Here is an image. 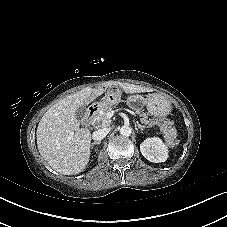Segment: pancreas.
I'll return each instance as SVG.
<instances>
[{"mask_svg": "<svg viewBox=\"0 0 227 227\" xmlns=\"http://www.w3.org/2000/svg\"><path fill=\"white\" fill-rule=\"evenodd\" d=\"M112 109V106H103L99 111L98 119L102 122L104 126H108L110 123L107 114L108 112L112 111ZM136 113L141 117V123L145 124L146 126L152 127L154 125H158L160 127V131L164 135L169 145H175L177 130L176 127L172 126V122L161 123L158 119H148V116L140 110H137Z\"/></svg>", "mask_w": 227, "mask_h": 227, "instance_id": "obj_1", "label": "pancreas"}]
</instances>
